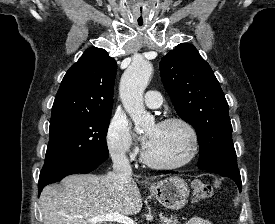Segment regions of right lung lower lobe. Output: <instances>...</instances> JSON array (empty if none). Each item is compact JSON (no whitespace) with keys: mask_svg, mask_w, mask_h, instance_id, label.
Instances as JSON below:
<instances>
[{"mask_svg":"<svg viewBox=\"0 0 275 224\" xmlns=\"http://www.w3.org/2000/svg\"><path fill=\"white\" fill-rule=\"evenodd\" d=\"M108 156V152L99 153L85 159L66 161L43 167L38 183L39 194L46 185L60 181L68 175L77 173L86 174L93 171L104 162Z\"/></svg>","mask_w":275,"mask_h":224,"instance_id":"1","label":"right lung lower lobe"}]
</instances>
